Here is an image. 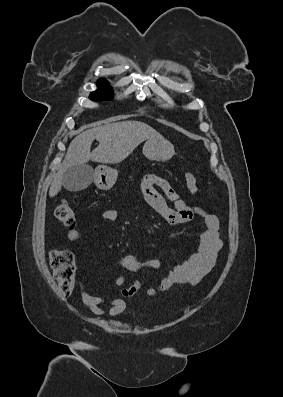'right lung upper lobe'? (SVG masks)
<instances>
[{"instance_id":"cb5924a9","label":"right lung upper lobe","mask_w":283,"mask_h":397,"mask_svg":"<svg viewBox=\"0 0 283 397\" xmlns=\"http://www.w3.org/2000/svg\"><path fill=\"white\" fill-rule=\"evenodd\" d=\"M100 82H107V80H105V79H100V80L98 81V83H100Z\"/></svg>"}]
</instances>
